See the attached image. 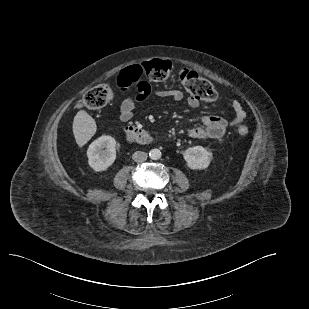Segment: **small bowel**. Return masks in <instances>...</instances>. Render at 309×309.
Returning a JSON list of instances; mask_svg holds the SVG:
<instances>
[{
	"label": "small bowel",
	"instance_id": "1",
	"mask_svg": "<svg viewBox=\"0 0 309 309\" xmlns=\"http://www.w3.org/2000/svg\"><path fill=\"white\" fill-rule=\"evenodd\" d=\"M123 72L124 70L119 74L117 84L121 89L126 90L133 84L124 79ZM152 93L157 97L170 98L175 102H180L184 98L182 91L178 89H158L152 91V88L148 82L144 81L143 83H137L136 95L127 97L121 102L119 115L120 119L123 122L130 121L133 117L137 104L145 101ZM186 105L191 109H195L199 106V100L193 96H189L186 99ZM232 109L234 111V116L230 121L217 115L203 116L202 125L192 128L189 131V136L194 139L221 138L225 134L228 126L240 125L245 120L246 113L240 102L233 101ZM127 139L129 142L135 141L128 135Z\"/></svg>",
	"mask_w": 309,
	"mask_h": 309
}]
</instances>
